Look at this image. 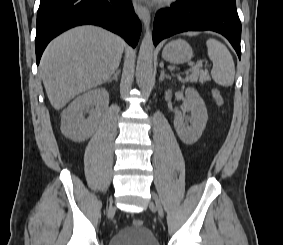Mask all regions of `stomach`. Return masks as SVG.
Returning <instances> with one entry per match:
<instances>
[{"label": "stomach", "instance_id": "obj_1", "mask_svg": "<svg viewBox=\"0 0 283 245\" xmlns=\"http://www.w3.org/2000/svg\"><path fill=\"white\" fill-rule=\"evenodd\" d=\"M162 57L171 63L182 64L193 57L191 46L182 39L170 41L163 49Z\"/></svg>", "mask_w": 283, "mask_h": 245}]
</instances>
